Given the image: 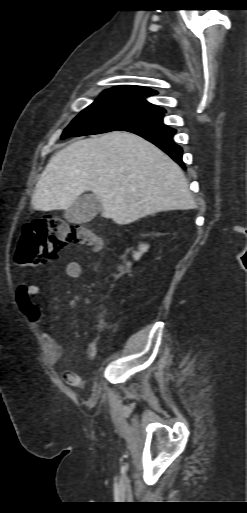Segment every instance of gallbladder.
Masks as SVG:
<instances>
[{
  "mask_svg": "<svg viewBox=\"0 0 247 513\" xmlns=\"http://www.w3.org/2000/svg\"><path fill=\"white\" fill-rule=\"evenodd\" d=\"M101 210L102 205L95 195L84 194L65 211L64 217L70 223L84 224L93 220Z\"/></svg>",
  "mask_w": 247,
  "mask_h": 513,
  "instance_id": "obj_1",
  "label": "gallbladder"
}]
</instances>
